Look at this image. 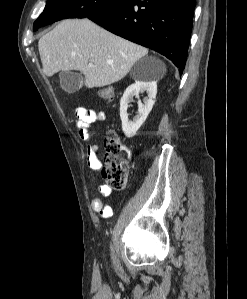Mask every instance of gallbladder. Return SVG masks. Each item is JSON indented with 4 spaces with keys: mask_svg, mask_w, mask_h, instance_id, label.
<instances>
[{
    "mask_svg": "<svg viewBox=\"0 0 247 299\" xmlns=\"http://www.w3.org/2000/svg\"><path fill=\"white\" fill-rule=\"evenodd\" d=\"M59 79L61 88L69 94L78 91L81 88L83 82L81 74L74 71L60 72Z\"/></svg>",
    "mask_w": 247,
    "mask_h": 299,
    "instance_id": "gallbladder-1",
    "label": "gallbladder"
}]
</instances>
